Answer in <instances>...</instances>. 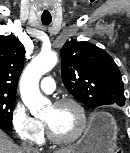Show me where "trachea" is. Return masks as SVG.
<instances>
[{"label":"trachea","instance_id":"trachea-1","mask_svg":"<svg viewBox=\"0 0 130 153\" xmlns=\"http://www.w3.org/2000/svg\"><path fill=\"white\" fill-rule=\"evenodd\" d=\"M41 20L44 25H49L52 21V18L51 17H42Z\"/></svg>","mask_w":130,"mask_h":153}]
</instances>
